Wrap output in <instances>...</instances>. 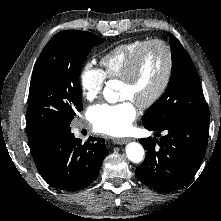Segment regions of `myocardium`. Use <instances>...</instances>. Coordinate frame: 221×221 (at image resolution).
I'll return each instance as SVG.
<instances>
[{
    "label": "myocardium",
    "instance_id": "obj_1",
    "mask_svg": "<svg viewBox=\"0 0 221 221\" xmlns=\"http://www.w3.org/2000/svg\"><path fill=\"white\" fill-rule=\"evenodd\" d=\"M152 46H160L164 50L166 55V70L161 84L153 95L146 101L138 104L141 109H147L155 105L162 98L169 87L174 69V55L171 46L162 39H152L146 41L129 61L125 73L120 78L122 82L130 83L137 74L144 53Z\"/></svg>",
    "mask_w": 221,
    "mask_h": 221
}]
</instances>
